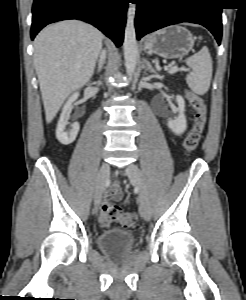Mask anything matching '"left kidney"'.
I'll list each match as a JSON object with an SVG mask.
<instances>
[{
  "instance_id": "left-kidney-1",
  "label": "left kidney",
  "mask_w": 246,
  "mask_h": 300,
  "mask_svg": "<svg viewBox=\"0 0 246 300\" xmlns=\"http://www.w3.org/2000/svg\"><path fill=\"white\" fill-rule=\"evenodd\" d=\"M177 104H178V111H179V116L178 118L174 120H170L167 122L168 128L176 135H181L182 133L185 132L187 128V121L185 117V101L183 97L177 96L176 97Z\"/></svg>"
}]
</instances>
